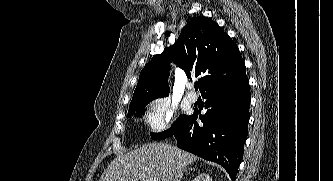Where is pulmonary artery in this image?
Here are the masks:
<instances>
[{
    "label": "pulmonary artery",
    "mask_w": 333,
    "mask_h": 181,
    "mask_svg": "<svg viewBox=\"0 0 333 181\" xmlns=\"http://www.w3.org/2000/svg\"><path fill=\"white\" fill-rule=\"evenodd\" d=\"M186 98L189 102L194 103L197 101L198 96L194 92H188Z\"/></svg>",
    "instance_id": "1"
}]
</instances>
